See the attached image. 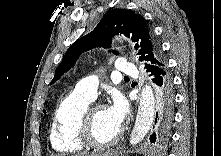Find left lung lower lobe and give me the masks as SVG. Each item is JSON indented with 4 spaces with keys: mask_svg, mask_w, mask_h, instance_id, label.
I'll return each instance as SVG.
<instances>
[{
    "mask_svg": "<svg viewBox=\"0 0 221 156\" xmlns=\"http://www.w3.org/2000/svg\"><path fill=\"white\" fill-rule=\"evenodd\" d=\"M152 76L154 90L152 95L153 103V124L150 142H162L170 135L173 122L174 95L173 80L166 62L152 66L147 69Z\"/></svg>",
    "mask_w": 221,
    "mask_h": 156,
    "instance_id": "obj_1",
    "label": "left lung lower lobe"
}]
</instances>
